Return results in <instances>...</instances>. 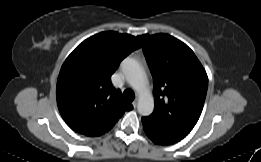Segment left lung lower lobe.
Listing matches in <instances>:
<instances>
[{"label":"left lung lower lobe","mask_w":261,"mask_h":162,"mask_svg":"<svg viewBox=\"0 0 261 162\" xmlns=\"http://www.w3.org/2000/svg\"><path fill=\"white\" fill-rule=\"evenodd\" d=\"M143 128L147 136L157 145H171L180 141L181 137L163 132L152 123L142 118Z\"/></svg>","instance_id":"obj_1"}]
</instances>
